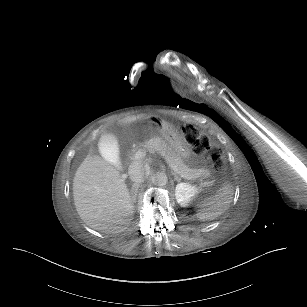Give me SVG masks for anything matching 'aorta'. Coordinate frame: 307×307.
<instances>
[{
    "label": "aorta",
    "mask_w": 307,
    "mask_h": 307,
    "mask_svg": "<svg viewBox=\"0 0 307 307\" xmlns=\"http://www.w3.org/2000/svg\"><path fill=\"white\" fill-rule=\"evenodd\" d=\"M152 183L159 187L165 186L168 183V177L164 173H158L152 177Z\"/></svg>",
    "instance_id": "762f6f07"
}]
</instances>
